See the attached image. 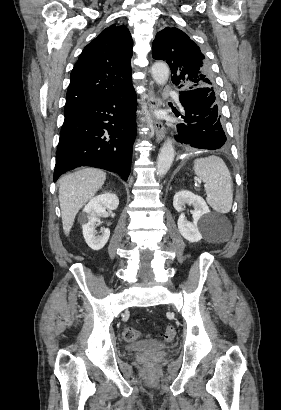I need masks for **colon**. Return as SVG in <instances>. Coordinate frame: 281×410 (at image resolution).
Wrapping results in <instances>:
<instances>
[{
	"mask_svg": "<svg viewBox=\"0 0 281 410\" xmlns=\"http://www.w3.org/2000/svg\"><path fill=\"white\" fill-rule=\"evenodd\" d=\"M175 332V327L173 325H168L163 334L164 340L171 341L175 336ZM122 335L125 341L135 342L141 337V332L133 326L126 325L123 328Z\"/></svg>",
	"mask_w": 281,
	"mask_h": 410,
	"instance_id": "5ec220e1",
	"label": "colon"
}]
</instances>
